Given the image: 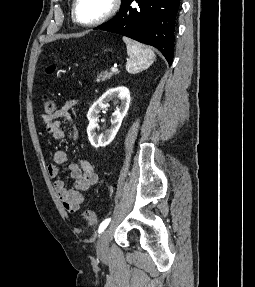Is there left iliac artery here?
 Masks as SVG:
<instances>
[{"mask_svg": "<svg viewBox=\"0 0 255 287\" xmlns=\"http://www.w3.org/2000/svg\"><path fill=\"white\" fill-rule=\"evenodd\" d=\"M110 222V218L108 219H105L99 226V233L103 232L104 229L107 227V225L109 224Z\"/></svg>", "mask_w": 255, "mask_h": 287, "instance_id": "obj_1", "label": "left iliac artery"}]
</instances>
